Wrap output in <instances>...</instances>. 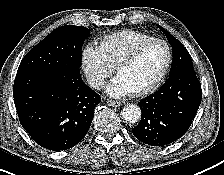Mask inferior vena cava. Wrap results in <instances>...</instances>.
<instances>
[{
	"label": "inferior vena cava",
	"instance_id": "1",
	"mask_svg": "<svg viewBox=\"0 0 224 175\" xmlns=\"http://www.w3.org/2000/svg\"><path fill=\"white\" fill-rule=\"evenodd\" d=\"M87 82L90 87H93L95 89H100L103 85V80L100 76L97 75H88L87 76Z\"/></svg>",
	"mask_w": 224,
	"mask_h": 175
}]
</instances>
